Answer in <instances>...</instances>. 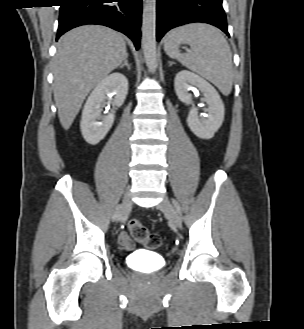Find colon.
I'll return each instance as SVG.
<instances>
[{"mask_svg":"<svg viewBox=\"0 0 304 329\" xmlns=\"http://www.w3.org/2000/svg\"><path fill=\"white\" fill-rule=\"evenodd\" d=\"M128 230L132 238L140 244H143L148 249H159L163 246L161 237L149 231V229L137 220L128 222Z\"/></svg>","mask_w":304,"mask_h":329,"instance_id":"5ec220e1","label":"colon"}]
</instances>
